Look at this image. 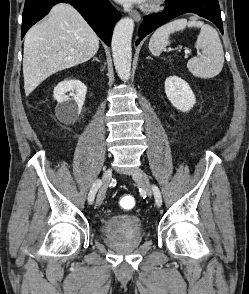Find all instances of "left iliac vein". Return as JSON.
Listing matches in <instances>:
<instances>
[{"label":"left iliac vein","mask_w":249,"mask_h":294,"mask_svg":"<svg viewBox=\"0 0 249 294\" xmlns=\"http://www.w3.org/2000/svg\"><path fill=\"white\" fill-rule=\"evenodd\" d=\"M133 179L138 182L143 190L145 191V193L151 197L152 196V187L148 178V175L140 168H137L133 174H132Z\"/></svg>","instance_id":"obj_1"}]
</instances>
